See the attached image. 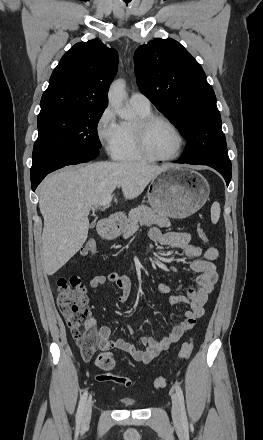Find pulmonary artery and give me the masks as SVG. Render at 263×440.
I'll return each instance as SVG.
<instances>
[{"instance_id":"pulmonary-artery-1","label":"pulmonary artery","mask_w":263,"mask_h":440,"mask_svg":"<svg viewBox=\"0 0 263 440\" xmlns=\"http://www.w3.org/2000/svg\"><path fill=\"white\" fill-rule=\"evenodd\" d=\"M130 105L139 110H149L150 109V101L149 99L140 92H134L129 97Z\"/></svg>"}]
</instances>
